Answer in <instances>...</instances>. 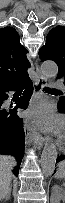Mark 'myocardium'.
<instances>
[{"mask_svg": "<svg viewBox=\"0 0 65 203\" xmlns=\"http://www.w3.org/2000/svg\"><path fill=\"white\" fill-rule=\"evenodd\" d=\"M63 141H64V139L62 138V139L59 140V143H62Z\"/></svg>", "mask_w": 65, "mask_h": 203, "instance_id": "obj_1", "label": "myocardium"}]
</instances>
